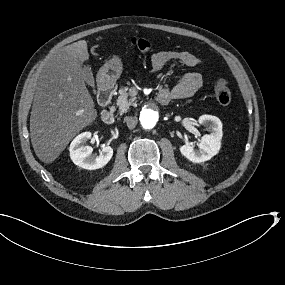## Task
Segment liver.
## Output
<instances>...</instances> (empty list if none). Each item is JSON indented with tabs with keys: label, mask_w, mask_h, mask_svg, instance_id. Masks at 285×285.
<instances>
[{
	"label": "liver",
	"mask_w": 285,
	"mask_h": 285,
	"mask_svg": "<svg viewBox=\"0 0 285 285\" xmlns=\"http://www.w3.org/2000/svg\"><path fill=\"white\" fill-rule=\"evenodd\" d=\"M88 59L87 42L79 40L51 54L42 70L30 116V137L37 157L46 164L97 118L82 73Z\"/></svg>",
	"instance_id": "obj_1"
}]
</instances>
